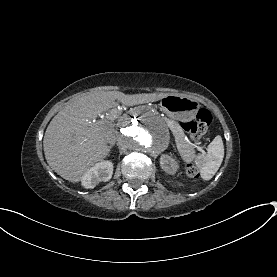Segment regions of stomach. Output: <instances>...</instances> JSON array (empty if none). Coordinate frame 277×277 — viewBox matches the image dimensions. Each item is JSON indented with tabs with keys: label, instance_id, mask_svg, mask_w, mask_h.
<instances>
[{
	"label": "stomach",
	"instance_id": "obj_1",
	"mask_svg": "<svg viewBox=\"0 0 277 277\" xmlns=\"http://www.w3.org/2000/svg\"><path fill=\"white\" fill-rule=\"evenodd\" d=\"M160 108L169 118L183 122L196 117L200 104L188 97L167 95L161 99Z\"/></svg>",
	"mask_w": 277,
	"mask_h": 277
}]
</instances>
